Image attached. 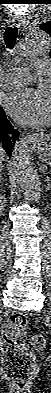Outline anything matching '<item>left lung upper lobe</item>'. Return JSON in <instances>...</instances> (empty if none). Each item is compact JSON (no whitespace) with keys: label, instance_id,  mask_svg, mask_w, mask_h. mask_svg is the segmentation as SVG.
<instances>
[{"label":"left lung upper lobe","instance_id":"1","mask_svg":"<svg viewBox=\"0 0 51 393\" xmlns=\"http://www.w3.org/2000/svg\"><path fill=\"white\" fill-rule=\"evenodd\" d=\"M40 28H41L43 31H46L47 33H49V35L51 36V21H50V22L42 23V24L40 25ZM50 56H51V55H50Z\"/></svg>","mask_w":51,"mask_h":393}]
</instances>
